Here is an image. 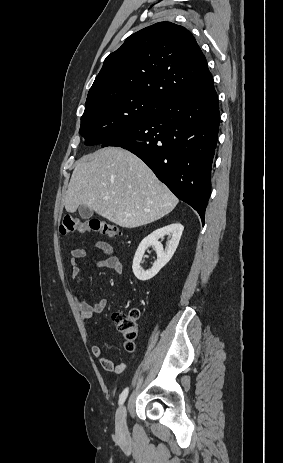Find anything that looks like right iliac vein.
Instances as JSON below:
<instances>
[{
  "mask_svg": "<svg viewBox=\"0 0 283 463\" xmlns=\"http://www.w3.org/2000/svg\"><path fill=\"white\" fill-rule=\"evenodd\" d=\"M116 433L120 439H125L128 435L125 405H122L116 413Z\"/></svg>",
  "mask_w": 283,
  "mask_h": 463,
  "instance_id": "obj_1",
  "label": "right iliac vein"
}]
</instances>
